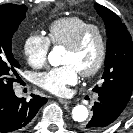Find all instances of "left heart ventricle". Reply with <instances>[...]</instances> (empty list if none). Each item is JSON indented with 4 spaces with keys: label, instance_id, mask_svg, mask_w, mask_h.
I'll list each match as a JSON object with an SVG mask.
<instances>
[{
    "label": "left heart ventricle",
    "instance_id": "1",
    "mask_svg": "<svg viewBox=\"0 0 133 133\" xmlns=\"http://www.w3.org/2000/svg\"><path fill=\"white\" fill-rule=\"evenodd\" d=\"M99 55V39L95 32H90L77 51L65 49L63 63L72 64L81 72L92 68Z\"/></svg>",
    "mask_w": 133,
    "mask_h": 133
}]
</instances>
